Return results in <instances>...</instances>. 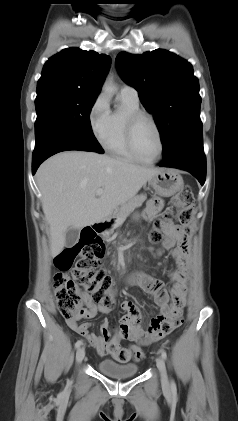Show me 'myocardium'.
I'll list each match as a JSON object with an SVG mask.
<instances>
[{
  "label": "myocardium",
  "mask_w": 238,
  "mask_h": 421,
  "mask_svg": "<svg viewBox=\"0 0 238 421\" xmlns=\"http://www.w3.org/2000/svg\"><path fill=\"white\" fill-rule=\"evenodd\" d=\"M141 119H147L151 122V124L153 125V127L156 130L157 136H158V141H159V152L156 155L155 158H153L152 160H145L143 159L137 152L136 148H135V143H134V133H135V128L138 124V122ZM125 136H126V142H127V146L130 150V152L132 153V155L135 157V159L141 163L147 164V165H151L156 163L162 156L163 151H164V141H163V136H162V132L161 129L157 123V121L154 119V117L142 110H138V111H134L131 112L127 115L126 117V121H125Z\"/></svg>",
  "instance_id": "myocardium-1"
}]
</instances>
